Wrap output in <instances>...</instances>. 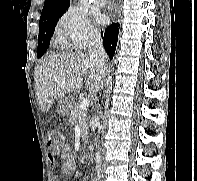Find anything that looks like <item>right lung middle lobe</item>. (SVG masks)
I'll return each mask as SVG.
<instances>
[{
    "label": "right lung middle lobe",
    "instance_id": "dd1d6c3e",
    "mask_svg": "<svg viewBox=\"0 0 197 181\" xmlns=\"http://www.w3.org/2000/svg\"><path fill=\"white\" fill-rule=\"evenodd\" d=\"M63 13L50 14L40 17L37 55L38 58L43 56V54L48 49L56 23Z\"/></svg>",
    "mask_w": 197,
    "mask_h": 181
}]
</instances>
